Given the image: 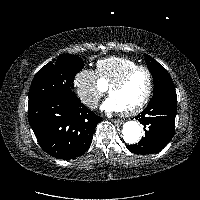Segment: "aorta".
<instances>
[{
  "mask_svg": "<svg viewBox=\"0 0 200 200\" xmlns=\"http://www.w3.org/2000/svg\"><path fill=\"white\" fill-rule=\"evenodd\" d=\"M123 139L128 144H135L141 136V127L136 121H127L122 129Z\"/></svg>",
  "mask_w": 200,
  "mask_h": 200,
  "instance_id": "1",
  "label": "aorta"
}]
</instances>
